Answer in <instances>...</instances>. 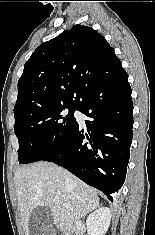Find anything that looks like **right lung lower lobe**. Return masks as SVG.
I'll return each instance as SVG.
<instances>
[{
	"label": "right lung lower lobe",
	"instance_id": "1",
	"mask_svg": "<svg viewBox=\"0 0 155 235\" xmlns=\"http://www.w3.org/2000/svg\"><path fill=\"white\" fill-rule=\"evenodd\" d=\"M131 92L125 70L86 90L76 110L90 118L85 120L88 134L77 123L67 141L43 159L101 190L111 202L127 172L133 128Z\"/></svg>",
	"mask_w": 155,
	"mask_h": 235
}]
</instances>
